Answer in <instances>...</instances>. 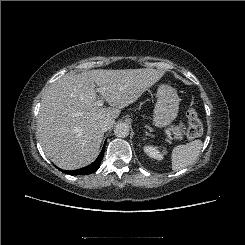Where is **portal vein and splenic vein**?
Listing matches in <instances>:
<instances>
[{
    "instance_id": "18ae733b",
    "label": "portal vein and splenic vein",
    "mask_w": 245,
    "mask_h": 245,
    "mask_svg": "<svg viewBox=\"0 0 245 245\" xmlns=\"http://www.w3.org/2000/svg\"><path fill=\"white\" fill-rule=\"evenodd\" d=\"M97 92L102 96V99L95 102L94 106L96 107H100L104 104V100H105V89L104 88H98L97 89ZM83 114L82 113H77L76 116H82ZM165 134L171 138V132L168 130V129H165L164 130Z\"/></svg>"
}]
</instances>
